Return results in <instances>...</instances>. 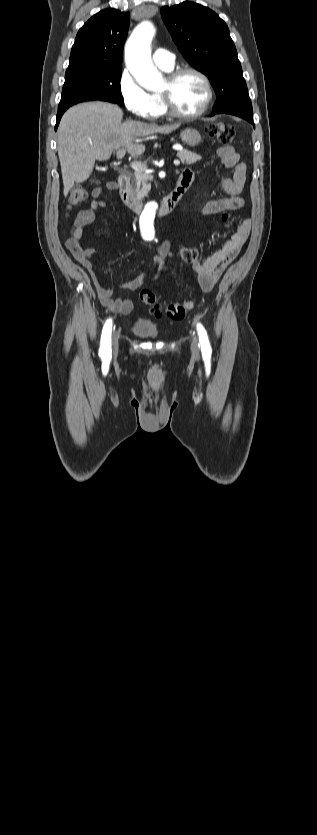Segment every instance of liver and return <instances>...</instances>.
<instances>
[{"label": "liver", "mask_w": 317, "mask_h": 835, "mask_svg": "<svg viewBox=\"0 0 317 835\" xmlns=\"http://www.w3.org/2000/svg\"><path fill=\"white\" fill-rule=\"evenodd\" d=\"M122 118L121 108L106 102L80 103L64 113L57 141L65 196L74 182L81 183L90 177L96 160H108L121 147L132 157L141 156L145 146L134 140L154 133L169 134L179 127V124L157 126L140 121L122 123Z\"/></svg>", "instance_id": "obj_1"}]
</instances>
